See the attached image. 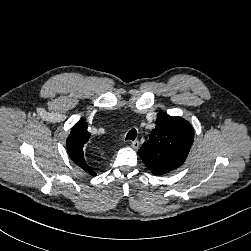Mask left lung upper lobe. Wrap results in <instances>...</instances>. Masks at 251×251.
<instances>
[{"instance_id":"1","label":"left lung upper lobe","mask_w":251,"mask_h":251,"mask_svg":"<svg viewBox=\"0 0 251 251\" xmlns=\"http://www.w3.org/2000/svg\"><path fill=\"white\" fill-rule=\"evenodd\" d=\"M193 139L194 130L188 121L160 112L155 129L138 154L154 175L166 174L184 163Z\"/></svg>"}]
</instances>
